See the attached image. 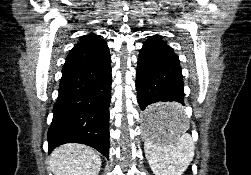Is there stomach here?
Here are the masks:
<instances>
[{
	"mask_svg": "<svg viewBox=\"0 0 251 175\" xmlns=\"http://www.w3.org/2000/svg\"><path fill=\"white\" fill-rule=\"evenodd\" d=\"M165 105H178V100H165ZM145 106L142 127L145 141H174L177 134H187L184 114H148L149 111H181V106ZM170 128V129H149ZM149 134H168V136H149Z\"/></svg>",
	"mask_w": 251,
	"mask_h": 175,
	"instance_id": "obj_1",
	"label": "stomach"
}]
</instances>
